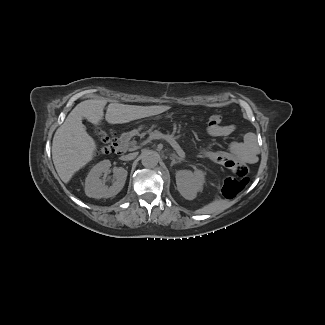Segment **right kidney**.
I'll list each match as a JSON object with an SVG mask.
<instances>
[{"label":"right kidney","mask_w":325,"mask_h":325,"mask_svg":"<svg viewBox=\"0 0 325 325\" xmlns=\"http://www.w3.org/2000/svg\"><path fill=\"white\" fill-rule=\"evenodd\" d=\"M111 162L109 160H103L96 164L85 180V194L92 198H109L117 195L125 185L127 171L119 167L114 172V179L111 181L112 185L107 186L100 179L102 173H107L110 169Z\"/></svg>","instance_id":"1"}]
</instances>
